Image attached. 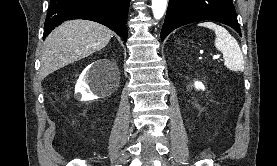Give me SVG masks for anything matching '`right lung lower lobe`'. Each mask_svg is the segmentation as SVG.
I'll return each instance as SVG.
<instances>
[{
  "instance_id": "right-lung-lower-lobe-1",
  "label": "right lung lower lobe",
  "mask_w": 277,
  "mask_h": 166,
  "mask_svg": "<svg viewBox=\"0 0 277 166\" xmlns=\"http://www.w3.org/2000/svg\"><path fill=\"white\" fill-rule=\"evenodd\" d=\"M129 3V0H50L43 38L66 20L87 19L107 26L126 41Z\"/></svg>"
}]
</instances>
